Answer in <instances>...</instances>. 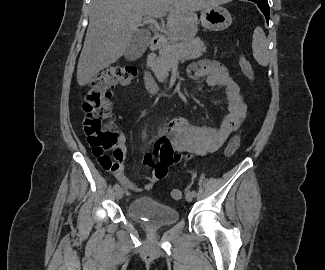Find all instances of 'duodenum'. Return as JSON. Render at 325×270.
Here are the masks:
<instances>
[{"label": "duodenum", "mask_w": 325, "mask_h": 270, "mask_svg": "<svg viewBox=\"0 0 325 270\" xmlns=\"http://www.w3.org/2000/svg\"><path fill=\"white\" fill-rule=\"evenodd\" d=\"M165 38L163 35L161 34H154L152 36L151 39V43H150V50H151V54L148 58V62L152 63L154 61L155 58V51L158 50L164 43ZM144 81L146 86L150 89V90H155V86L153 83V79L151 74L148 72L147 69L144 70Z\"/></svg>", "instance_id": "1"}]
</instances>
